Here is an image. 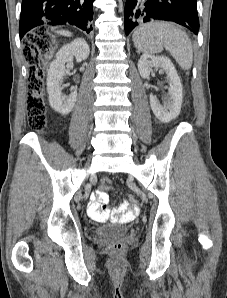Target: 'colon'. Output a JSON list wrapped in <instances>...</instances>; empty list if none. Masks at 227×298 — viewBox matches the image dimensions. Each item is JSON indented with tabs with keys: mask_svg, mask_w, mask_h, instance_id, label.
I'll use <instances>...</instances> for the list:
<instances>
[{
	"mask_svg": "<svg viewBox=\"0 0 227 298\" xmlns=\"http://www.w3.org/2000/svg\"><path fill=\"white\" fill-rule=\"evenodd\" d=\"M38 32H42L39 31ZM34 35H28L27 41L23 46V55L30 65L28 73V98L27 113L28 125L36 130L41 131L46 125V106L44 99V70L41 64V58L48 53L51 45L50 39L43 33V38L36 41ZM99 190H111L110 182L104 180L99 185ZM137 196H130V200L126 201L127 206L140 207ZM126 249V245L115 242L109 245L112 253H122Z\"/></svg>",
	"mask_w": 227,
	"mask_h": 298,
	"instance_id": "5ec220e1",
	"label": "colon"
}]
</instances>
